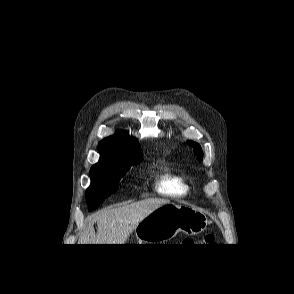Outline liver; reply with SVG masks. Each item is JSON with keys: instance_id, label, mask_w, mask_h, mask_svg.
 Masks as SVG:
<instances>
[{"instance_id": "6515ba94", "label": "liver", "mask_w": 294, "mask_h": 294, "mask_svg": "<svg viewBox=\"0 0 294 294\" xmlns=\"http://www.w3.org/2000/svg\"><path fill=\"white\" fill-rule=\"evenodd\" d=\"M168 202L165 199L149 198L120 207L103 209L88 221L78 244H124L140 221ZM94 223L98 226L97 233Z\"/></svg>"}]
</instances>
